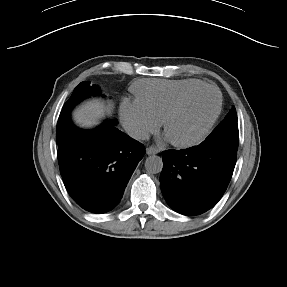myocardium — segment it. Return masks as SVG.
I'll return each instance as SVG.
<instances>
[{
	"mask_svg": "<svg viewBox=\"0 0 287 287\" xmlns=\"http://www.w3.org/2000/svg\"><path fill=\"white\" fill-rule=\"evenodd\" d=\"M204 89L212 90L216 94L217 102H216L215 110L213 114L211 115L210 119L208 120V122L206 123V125L204 126V128L196 136L190 139H187V140H183V141H176V140H172L169 138L170 142L178 148H189V147L195 146L199 144L200 142H202L208 136V134L212 130L222 110V95L220 91L218 90V88L210 84L203 83L201 85L195 86L187 90L184 94H182L176 100V102L172 105V107L169 109V111L167 112V114L165 115L163 119V129H164L165 134L167 135V130H168L170 123L180 113L181 109L183 108L187 100L194 93L200 90H204Z\"/></svg>",
	"mask_w": 287,
	"mask_h": 287,
	"instance_id": "myocardium-1",
	"label": "myocardium"
}]
</instances>
